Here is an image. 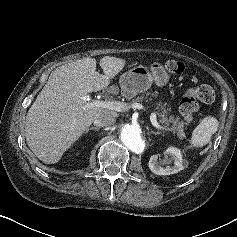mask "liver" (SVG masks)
Segmentation results:
<instances>
[{
    "instance_id": "liver-1",
    "label": "liver",
    "mask_w": 237,
    "mask_h": 237,
    "mask_svg": "<svg viewBox=\"0 0 237 237\" xmlns=\"http://www.w3.org/2000/svg\"><path fill=\"white\" fill-rule=\"evenodd\" d=\"M96 71L94 58H83L56 68L30 107L25 122L26 142L46 164L57 163L63 153L102 114L116 113L90 106L87 94L106 88L126 65V60L105 56Z\"/></svg>"
}]
</instances>
